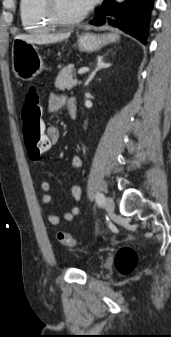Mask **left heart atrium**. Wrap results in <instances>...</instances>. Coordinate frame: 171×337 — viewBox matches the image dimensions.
<instances>
[{"instance_id": "1", "label": "left heart atrium", "mask_w": 171, "mask_h": 337, "mask_svg": "<svg viewBox=\"0 0 171 337\" xmlns=\"http://www.w3.org/2000/svg\"><path fill=\"white\" fill-rule=\"evenodd\" d=\"M81 6L87 10V9H90L91 7H93L97 2L98 0H79Z\"/></svg>"}]
</instances>
